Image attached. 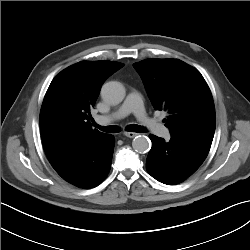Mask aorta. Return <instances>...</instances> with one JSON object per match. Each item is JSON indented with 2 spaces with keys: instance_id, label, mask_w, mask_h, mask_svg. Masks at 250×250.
Segmentation results:
<instances>
[{
  "instance_id": "obj_1",
  "label": "aorta",
  "mask_w": 250,
  "mask_h": 250,
  "mask_svg": "<svg viewBox=\"0 0 250 250\" xmlns=\"http://www.w3.org/2000/svg\"><path fill=\"white\" fill-rule=\"evenodd\" d=\"M126 91L124 86L117 81L105 83L101 89V96L107 103L116 105L123 101ZM133 149L138 153H146L150 149V140L143 135L136 136L132 141Z\"/></svg>"
}]
</instances>
